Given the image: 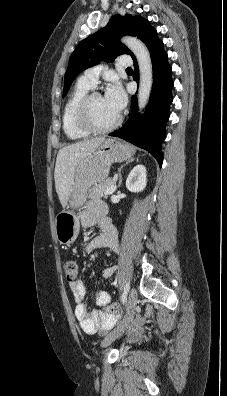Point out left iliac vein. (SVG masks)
Instances as JSON below:
<instances>
[{"instance_id":"1","label":"left iliac vein","mask_w":227,"mask_h":396,"mask_svg":"<svg viewBox=\"0 0 227 396\" xmlns=\"http://www.w3.org/2000/svg\"><path fill=\"white\" fill-rule=\"evenodd\" d=\"M137 301H138V296H137V291L135 288H132L129 293L128 297V304H127V315L125 317L124 322L120 327H118L116 330H114L112 333H110L108 336H106L102 343V347H107L109 346L113 341H115L118 337H120L124 332L126 331L127 327L131 323L135 311H136V306H137Z\"/></svg>"}]
</instances>
